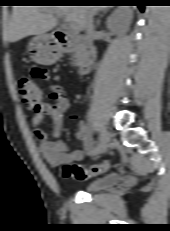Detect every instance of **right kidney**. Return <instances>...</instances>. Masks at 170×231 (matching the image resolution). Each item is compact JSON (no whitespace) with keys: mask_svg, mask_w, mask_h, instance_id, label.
<instances>
[{"mask_svg":"<svg viewBox=\"0 0 170 231\" xmlns=\"http://www.w3.org/2000/svg\"><path fill=\"white\" fill-rule=\"evenodd\" d=\"M132 20V11L127 7L115 10L107 19V28L118 35H124L128 30Z\"/></svg>","mask_w":170,"mask_h":231,"instance_id":"obj_1","label":"right kidney"}]
</instances>
